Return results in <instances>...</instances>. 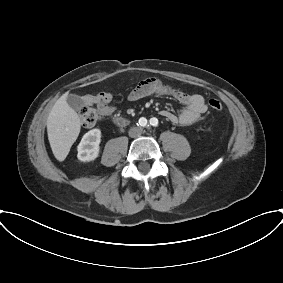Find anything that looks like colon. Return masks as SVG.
Masks as SVG:
<instances>
[{
  "label": "colon",
  "instance_id": "5ec220e1",
  "mask_svg": "<svg viewBox=\"0 0 283 283\" xmlns=\"http://www.w3.org/2000/svg\"><path fill=\"white\" fill-rule=\"evenodd\" d=\"M208 105L211 110L213 111H221L223 106L220 100L216 98H211L208 101ZM80 117L82 120V123L86 127H92L94 126L102 117V113L99 109H96L92 106H85L81 112H80Z\"/></svg>",
  "mask_w": 283,
  "mask_h": 283
}]
</instances>
